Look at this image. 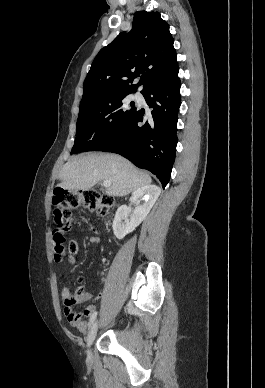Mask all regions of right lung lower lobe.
Listing matches in <instances>:
<instances>
[{
	"mask_svg": "<svg viewBox=\"0 0 265 388\" xmlns=\"http://www.w3.org/2000/svg\"><path fill=\"white\" fill-rule=\"evenodd\" d=\"M181 82L178 73L149 85L142 94L150 114L136 110L101 151L120 154L157 176L163 188L170 179L177 145L176 126Z\"/></svg>",
	"mask_w": 265,
	"mask_h": 388,
	"instance_id": "1",
	"label": "right lung lower lobe"
}]
</instances>
